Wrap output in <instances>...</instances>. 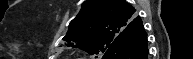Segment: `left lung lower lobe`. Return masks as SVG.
Masks as SVG:
<instances>
[{
	"label": "left lung lower lobe",
	"instance_id": "left-lung-lower-lobe-1",
	"mask_svg": "<svg viewBox=\"0 0 193 59\" xmlns=\"http://www.w3.org/2000/svg\"><path fill=\"white\" fill-rule=\"evenodd\" d=\"M103 59H148L147 35L140 17L126 27L116 43L110 45Z\"/></svg>",
	"mask_w": 193,
	"mask_h": 59
}]
</instances>
